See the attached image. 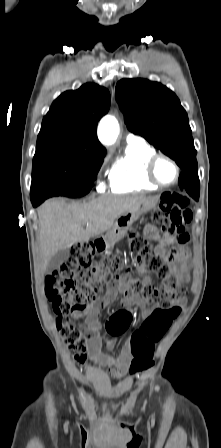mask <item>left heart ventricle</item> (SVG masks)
<instances>
[{"instance_id": "obj_1", "label": "left heart ventricle", "mask_w": 221, "mask_h": 448, "mask_svg": "<svg viewBox=\"0 0 221 448\" xmlns=\"http://www.w3.org/2000/svg\"><path fill=\"white\" fill-rule=\"evenodd\" d=\"M156 175L163 183H170L175 179L176 170L169 161L161 159L156 166Z\"/></svg>"}]
</instances>
